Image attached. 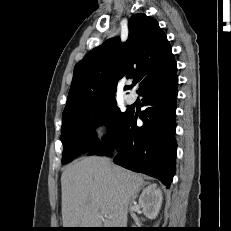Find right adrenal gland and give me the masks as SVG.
<instances>
[{
  "instance_id": "obj_1",
  "label": "right adrenal gland",
  "mask_w": 231,
  "mask_h": 231,
  "mask_svg": "<svg viewBox=\"0 0 231 231\" xmlns=\"http://www.w3.org/2000/svg\"><path fill=\"white\" fill-rule=\"evenodd\" d=\"M136 196H137V194L133 197V199L136 198Z\"/></svg>"
}]
</instances>
